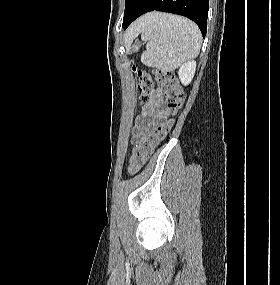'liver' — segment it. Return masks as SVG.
<instances>
[{"label":"liver","mask_w":280,"mask_h":285,"mask_svg":"<svg viewBox=\"0 0 280 285\" xmlns=\"http://www.w3.org/2000/svg\"><path fill=\"white\" fill-rule=\"evenodd\" d=\"M152 14L145 15L144 17L138 19L126 33V38L133 37L141 31L142 26L150 18Z\"/></svg>","instance_id":"obj_1"}]
</instances>
